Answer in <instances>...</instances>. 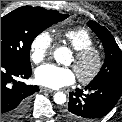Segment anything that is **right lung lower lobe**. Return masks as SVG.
<instances>
[{
	"mask_svg": "<svg viewBox=\"0 0 122 122\" xmlns=\"http://www.w3.org/2000/svg\"><path fill=\"white\" fill-rule=\"evenodd\" d=\"M31 67L25 68L1 58V122H20L27 111L28 98L39 90L17 78H29Z\"/></svg>",
	"mask_w": 122,
	"mask_h": 122,
	"instance_id": "98d812e1",
	"label": "right lung lower lobe"
}]
</instances>
